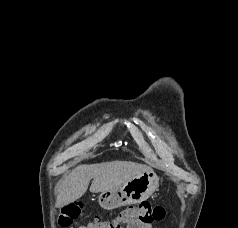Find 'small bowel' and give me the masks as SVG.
<instances>
[{
	"label": "small bowel",
	"mask_w": 238,
	"mask_h": 228,
	"mask_svg": "<svg viewBox=\"0 0 238 228\" xmlns=\"http://www.w3.org/2000/svg\"><path fill=\"white\" fill-rule=\"evenodd\" d=\"M127 228H153V227H152V225H145V224L137 223V224L128 226Z\"/></svg>",
	"instance_id": "c3829d8e"
}]
</instances>
